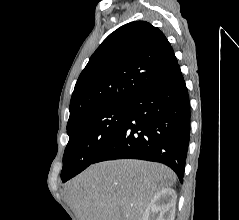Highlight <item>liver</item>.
Masks as SVG:
<instances>
[{
	"label": "liver",
	"mask_w": 239,
	"mask_h": 220,
	"mask_svg": "<svg viewBox=\"0 0 239 220\" xmlns=\"http://www.w3.org/2000/svg\"><path fill=\"white\" fill-rule=\"evenodd\" d=\"M175 182L162 164L120 159L91 165L66 191L78 220H143L153 196Z\"/></svg>",
	"instance_id": "1"
}]
</instances>
